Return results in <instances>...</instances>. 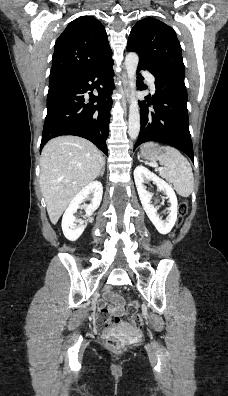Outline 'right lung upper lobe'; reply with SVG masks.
Masks as SVG:
<instances>
[{"label":"right lung upper lobe","instance_id":"cb5924a9","mask_svg":"<svg viewBox=\"0 0 228 396\" xmlns=\"http://www.w3.org/2000/svg\"><path fill=\"white\" fill-rule=\"evenodd\" d=\"M112 60V50L100 21L82 16L68 24L55 43L50 80L89 72Z\"/></svg>","mask_w":228,"mask_h":396}]
</instances>
